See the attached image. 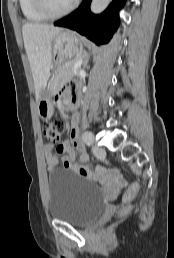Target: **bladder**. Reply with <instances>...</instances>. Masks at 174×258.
I'll return each mask as SVG.
<instances>
[{
	"label": "bladder",
	"mask_w": 174,
	"mask_h": 258,
	"mask_svg": "<svg viewBox=\"0 0 174 258\" xmlns=\"http://www.w3.org/2000/svg\"><path fill=\"white\" fill-rule=\"evenodd\" d=\"M48 212L52 219L86 226L105 209L99 186L67 169H55L48 175Z\"/></svg>",
	"instance_id": "1"
}]
</instances>
